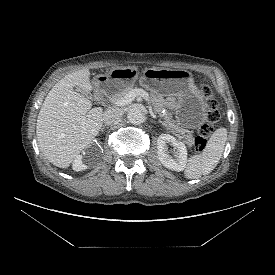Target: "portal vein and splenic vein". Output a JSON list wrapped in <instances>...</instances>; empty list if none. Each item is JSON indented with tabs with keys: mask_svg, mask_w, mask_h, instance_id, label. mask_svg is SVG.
I'll return each instance as SVG.
<instances>
[{
	"mask_svg": "<svg viewBox=\"0 0 275 275\" xmlns=\"http://www.w3.org/2000/svg\"><path fill=\"white\" fill-rule=\"evenodd\" d=\"M137 96L143 97L149 102V94L143 89H132L123 98L115 102L117 106H124L131 103Z\"/></svg>",
	"mask_w": 275,
	"mask_h": 275,
	"instance_id": "portal-vein-and-splenic-vein-1",
	"label": "portal vein and splenic vein"
}]
</instances>
